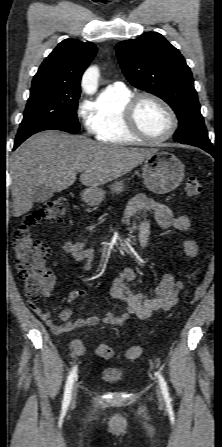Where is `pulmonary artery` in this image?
<instances>
[{
  "instance_id": "pulmonary-artery-1",
  "label": "pulmonary artery",
  "mask_w": 222,
  "mask_h": 447,
  "mask_svg": "<svg viewBox=\"0 0 222 447\" xmlns=\"http://www.w3.org/2000/svg\"><path fill=\"white\" fill-rule=\"evenodd\" d=\"M123 88H125V85L122 82H119V81L113 82V83H111V84H109L107 86V89H117V90H119V89H123Z\"/></svg>"
}]
</instances>
